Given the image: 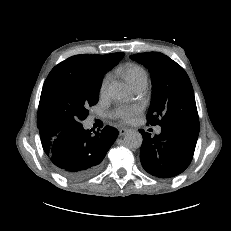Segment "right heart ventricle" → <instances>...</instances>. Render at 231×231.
I'll use <instances>...</instances> for the list:
<instances>
[{"label": "right heart ventricle", "mask_w": 231, "mask_h": 231, "mask_svg": "<svg viewBox=\"0 0 231 231\" xmlns=\"http://www.w3.org/2000/svg\"><path fill=\"white\" fill-rule=\"evenodd\" d=\"M118 72L133 90L142 86L146 87L148 83L147 73L140 65L127 63L118 68Z\"/></svg>", "instance_id": "obj_1"}]
</instances>
